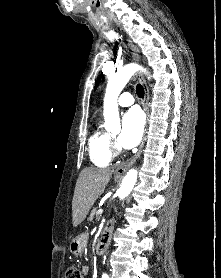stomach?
<instances>
[{"instance_id":"obj_1","label":"stomach","mask_w":221,"mask_h":278,"mask_svg":"<svg viewBox=\"0 0 221 278\" xmlns=\"http://www.w3.org/2000/svg\"><path fill=\"white\" fill-rule=\"evenodd\" d=\"M117 179V177H115ZM88 243V235L86 233H82L72 239L70 242L69 250L75 256H80L83 254L87 247Z\"/></svg>"}]
</instances>
